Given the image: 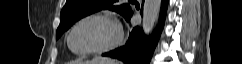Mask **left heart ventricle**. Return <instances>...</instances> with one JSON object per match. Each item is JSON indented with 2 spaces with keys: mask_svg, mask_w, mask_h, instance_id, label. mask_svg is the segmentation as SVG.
<instances>
[{
  "mask_svg": "<svg viewBox=\"0 0 242 64\" xmlns=\"http://www.w3.org/2000/svg\"><path fill=\"white\" fill-rule=\"evenodd\" d=\"M116 36L115 27L104 20H89L82 23L71 38L72 48L84 51L100 47L112 41Z\"/></svg>",
  "mask_w": 242,
  "mask_h": 64,
  "instance_id": "left-heart-ventricle-1",
  "label": "left heart ventricle"
}]
</instances>
